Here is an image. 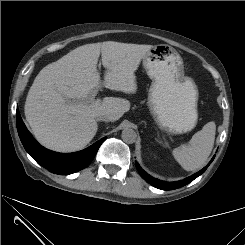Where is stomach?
Wrapping results in <instances>:
<instances>
[{
	"mask_svg": "<svg viewBox=\"0 0 245 245\" xmlns=\"http://www.w3.org/2000/svg\"><path fill=\"white\" fill-rule=\"evenodd\" d=\"M152 80L148 103L160 127L174 134L191 131L197 124L198 91L184 76L183 59L171 46H153L142 59Z\"/></svg>",
	"mask_w": 245,
	"mask_h": 245,
	"instance_id": "1",
	"label": "stomach"
}]
</instances>
